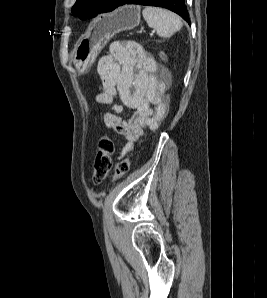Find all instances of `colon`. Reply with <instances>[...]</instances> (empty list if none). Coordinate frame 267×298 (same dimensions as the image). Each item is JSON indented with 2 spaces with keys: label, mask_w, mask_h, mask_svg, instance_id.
<instances>
[{
  "label": "colon",
  "mask_w": 267,
  "mask_h": 298,
  "mask_svg": "<svg viewBox=\"0 0 267 298\" xmlns=\"http://www.w3.org/2000/svg\"><path fill=\"white\" fill-rule=\"evenodd\" d=\"M114 150L113 141L110 137L104 136L100 139L93 166V181L101 183L109 174L112 166V154ZM131 158L127 156L120 161L115 168L112 180L117 181L125 175L130 168Z\"/></svg>",
  "instance_id": "obj_1"
}]
</instances>
